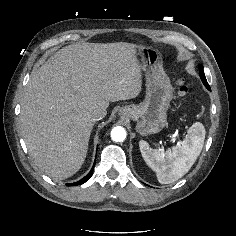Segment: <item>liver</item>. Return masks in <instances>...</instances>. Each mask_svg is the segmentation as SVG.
I'll return each mask as SVG.
<instances>
[{
    "label": "liver",
    "instance_id": "1",
    "mask_svg": "<svg viewBox=\"0 0 236 236\" xmlns=\"http://www.w3.org/2000/svg\"><path fill=\"white\" fill-rule=\"evenodd\" d=\"M137 55L131 43H82L60 49L32 72L20 124L45 174L64 180L79 171L95 123L90 112L140 94L143 67Z\"/></svg>",
    "mask_w": 236,
    "mask_h": 236
}]
</instances>
